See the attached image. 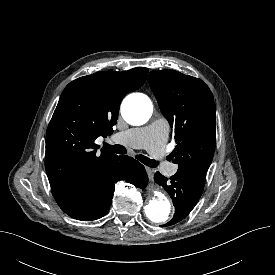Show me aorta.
Instances as JSON below:
<instances>
[{"label":"aorta","instance_id":"obj_1","mask_svg":"<svg viewBox=\"0 0 275 275\" xmlns=\"http://www.w3.org/2000/svg\"><path fill=\"white\" fill-rule=\"evenodd\" d=\"M153 113V103L144 94L136 93L128 96L121 105V114L127 123L142 125ZM172 213L168 197L160 190H154L152 197L145 206L147 218L154 223L166 222Z\"/></svg>","mask_w":275,"mask_h":275}]
</instances>
